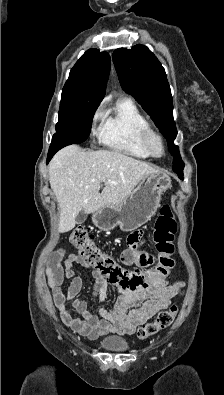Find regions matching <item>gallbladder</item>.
Listing matches in <instances>:
<instances>
[{
  "label": "gallbladder",
  "mask_w": 224,
  "mask_h": 395,
  "mask_svg": "<svg viewBox=\"0 0 224 395\" xmlns=\"http://www.w3.org/2000/svg\"><path fill=\"white\" fill-rule=\"evenodd\" d=\"M87 216L84 210H81L76 216V224L81 225L85 222Z\"/></svg>",
  "instance_id": "gallbladder-1"
}]
</instances>
